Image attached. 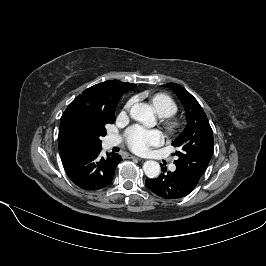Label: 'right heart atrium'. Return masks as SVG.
<instances>
[{
  "instance_id": "right-heart-atrium-1",
  "label": "right heart atrium",
  "mask_w": 266,
  "mask_h": 266,
  "mask_svg": "<svg viewBox=\"0 0 266 266\" xmlns=\"http://www.w3.org/2000/svg\"><path fill=\"white\" fill-rule=\"evenodd\" d=\"M134 100H135L134 98L129 99L127 103L125 104V108L129 109L131 105L133 104Z\"/></svg>"
}]
</instances>
